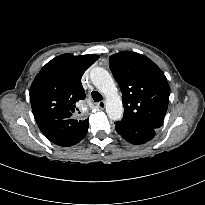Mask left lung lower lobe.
<instances>
[{"mask_svg": "<svg viewBox=\"0 0 205 205\" xmlns=\"http://www.w3.org/2000/svg\"><path fill=\"white\" fill-rule=\"evenodd\" d=\"M115 129L126 141L141 145L150 141L155 136V128L142 123L123 118L115 122Z\"/></svg>", "mask_w": 205, "mask_h": 205, "instance_id": "0a47b994", "label": "left lung lower lobe"}]
</instances>
